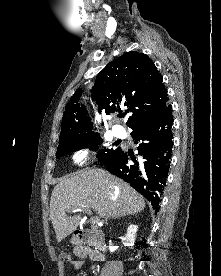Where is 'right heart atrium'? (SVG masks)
Returning <instances> with one entry per match:
<instances>
[{
  "label": "right heart atrium",
  "instance_id": "d8ad5b80",
  "mask_svg": "<svg viewBox=\"0 0 221 276\" xmlns=\"http://www.w3.org/2000/svg\"><path fill=\"white\" fill-rule=\"evenodd\" d=\"M86 153L84 151H80L74 156V161L76 163H82L85 159Z\"/></svg>",
  "mask_w": 221,
  "mask_h": 276
}]
</instances>
